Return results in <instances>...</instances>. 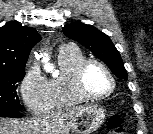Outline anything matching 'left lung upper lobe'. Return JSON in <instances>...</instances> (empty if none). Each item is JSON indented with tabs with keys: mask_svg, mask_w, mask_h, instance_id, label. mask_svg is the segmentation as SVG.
Instances as JSON below:
<instances>
[{
	"mask_svg": "<svg viewBox=\"0 0 153 134\" xmlns=\"http://www.w3.org/2000/svg\"><path fill=\"white\" fill-rule=\"evenodd\" d=\"M62 31L99 57L118 78L127 80L122 58L109 36L91 25L80 22L64 26Z\"/></svg>",
	"mask_w": 153,
	"mask_h": 134,
	"instance_id": "left-lung-upper-lobe-1",
	"label": "left lung upper lobe"
}]
</instances>
